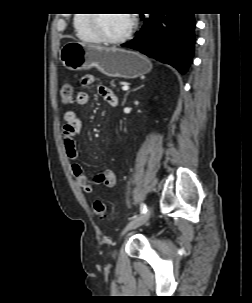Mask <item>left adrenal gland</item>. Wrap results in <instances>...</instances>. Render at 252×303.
<instances>
[{
    "instance_id": "obj_1",
    "label": "left adrenal gland",
    "mask_w": 252,
    "mask_h": 303,
    "mask_svg": "<svg viewBox=\"0 0 252 303\" xmlns=\"http://www.w3.org/2000/svg\"><path fill=\"white\" fill-rule=\"evenodd\" d=\"M127 95H128V93H126L125 96H124V102L126 101Z\"/></svg>"
}]
</instances>
